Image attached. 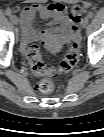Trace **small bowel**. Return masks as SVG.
I'll list each match as a JSON object with an SVG mask.
<instances>
[{
  "label": "small bowel",
  "mask_w": 104,
  "mask_h": 137,
  "mask_svg": "<svg viewBox=\"0 0 104 137\" xmlns=\"http://www.w3.org/2000/svg\"><path fill=\"white\" fill-rule=\"evenodd\" d=\"M50 20V30L36 31L32 27L34 17ZM81 14L79 8L62 3L33 4L24 7L20 12L22 26L21 48L26 50L28 44L35 39L45 37L49 32H60L72 39H77V32Z\"/></svg>",
  "instance_id": "small-bowel-1"
}]
</instances>
